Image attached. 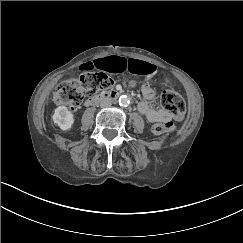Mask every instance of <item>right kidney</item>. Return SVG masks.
I'll use <instances>...</instances> for the list:
<instances>
[{
	"label": "right kidney",
	"mask_w": 243,
	"mask_h": 243,
	"mask_svg": "<svg viewBox=\"0 0 243 243\" xmlns=\"http://www.w3.org/2000/svg\"><path fill=\"white\" fill-rule=\"evenodd\" d=\"M52 120L61 130L69 131L75 122V115L66 106H58L54 109Z\"/></svg>",
	"instance_id": "obj_1"
}]
</instances>
